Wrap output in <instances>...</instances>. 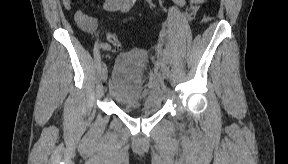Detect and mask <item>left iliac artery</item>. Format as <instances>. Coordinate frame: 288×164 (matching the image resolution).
<instances>
[{"mask_svg": "<svg viewBox=\"0 0 288 164\" xmlns=\"http://www.w3.org/2000/svg\"><path fill=\"white\" fill-rule=\"evenodd\" d=\"M161 57H162V60H165V59H166V53H165V51L162 53Z\"/></svg>", "mask_w": 288, "mask_h": 164, "instance_id": "44dca946", "label": "left iliac artery"}]
</instances>
